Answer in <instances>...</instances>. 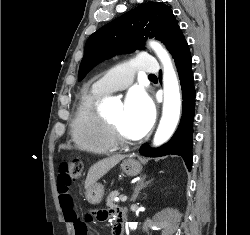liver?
<instances>
[{"label": "liver", "mask_w": 250, "mask_h": 235, "mask_svg": "<svg viewBox=\"0 0 250 235\" xmlns=\"http://www.w3.org/2000/svg\"><path fill=\"white\" fill-rule=\"evenodd\" d=\"M124 155H115L109 158L103 159L95 163L88 171L85 189L88 190L92 185H94L100 178H102L109 170L115 167L122 159Z\"/></svg>", "instance_id": "1"}]
</instances>
